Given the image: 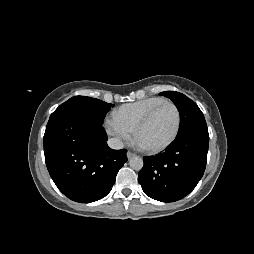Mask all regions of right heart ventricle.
I'll return each instance as SVG.
<instances>
[{
	"mask_svg": "<svg viewBox=\"0 0 254 254\" xmlns=\"http://www.w3.org/2000/svg\"><path fill=\"white\" fill-rule=\"evenodd\" d=\"M162 97H148L119 106L113 115L124 125L135 129L142 118L156 105L165 101Z\"/></svg>",
	"mask_w": 254,
	"mask_h": 254,
	"instance_id": "right-heart-ventricle-1",
	"label": "right heart ventricle"
}]
</instances>
